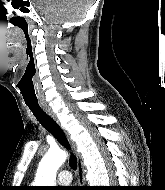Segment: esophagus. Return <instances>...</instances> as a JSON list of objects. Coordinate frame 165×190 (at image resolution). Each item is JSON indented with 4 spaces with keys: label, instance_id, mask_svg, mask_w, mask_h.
Returning <instances> with one entry per match:
<instances>
[{
    "label": "esophagus",
    "instance_id": "34e87169",
    "mask_svg": "<svg viewBox=\"0 0 165 190\" xmlns=\"http://www.w3.org/2000/svg\"><path fill=\"white\" fill-rule=\"evenodd\" d=\"M42 108L44 109V111L51 117L53 118V120L60 125V121L57 118L56 114L53 112V110L45 105V104H41ZM67 134V133H66ZM68 140L70 141V144L72 146V149L76 155L77 158V172H78V183L79 185L83 186L85 184V173H84V166H83V162H82V157L81 155L77 152L76 149V145L75 143L70 139L69 135L67 134Z\"/></svg>",
    "mask_w": 165,
    "mask_h": 190
}]
</instances>
